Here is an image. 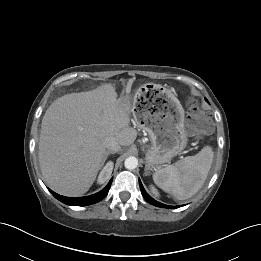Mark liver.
<instances>
[{"label":"liver","mask_w":261,"mask_h":261,"mask_svg":"<svg viewBox=\"0 0 261 261\" xmlns=\"http://www.w3.org/2000/svg\"><path fill=\"white\" fill-rule=\"evenodd\" d=\"M131 108L129 100L117 99L111 84L55 100L43 116L39 139L47 185L65 196L86 193L104 164V140L114 137L122 146L135 141Z\"/></svg>","instance_id":"liver-1"}]
</instances>
